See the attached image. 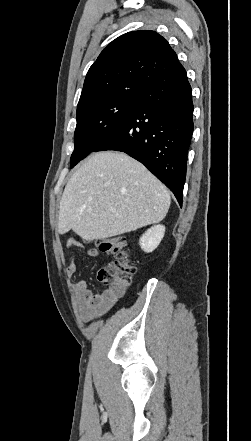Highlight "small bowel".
<instances>
[{
	"label": "small bowel",
	"instance_id": "small-bowel-1",
	"mask_svg": "<svg viewBox=\"0 0 251 441\" xmlns=\"http://www.w3.org/2000/svg\"><path fill=\"white\" fill-rule=\"evenodd\" d=\"M68 246L82 248V244L76 240L68 241ZM91 255L96 251L91 250ZM77 270L75 258L66 267V273L69 276L75 274ZM77 307L83 320L89 321L97 316L107 313L123 295L124 291H116L111 287L106 288L101 293H94L88 286L86 280H78L73 284Z\"/></svg>",
	"mask_w": 251,
	"mask_h": 441
}]
</instances>
